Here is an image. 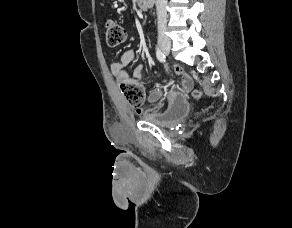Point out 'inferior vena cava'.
<instances>
[{"label": "inferior vena cava", "mask_w": 292, "mask_h": 228, "mask_svg": "<svg viewBox=\"0 0 292 228\" xmlns=\"http://www.w3.org/2000/svg\"><path fill=\"white\" fill-rule=\"evenodd\" d=\"M166 6H167V0H156L158 38L160 42L169 41L168 37L166 36V30H167Z\"/></svg>", "instance_id": "1"}]
</instances>
